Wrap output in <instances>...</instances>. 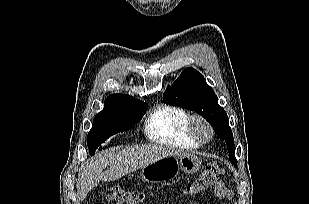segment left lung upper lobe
<instances>
[{
    "mask_svg": "<svg viewBox=\"0 0 309 204\" xmlns=\"http://www.w3.org/2000/svg\"><path fill=\"white\" fill-rule=\"evenodd\" d=\"M167 104L182 106L204 117L218 137L224 140L229 151L230 162L237 166L234 140L225 110L219 106L218 98L204 77L193 68L182 71L176 81L163 94Z\"/></svg>",
    "mask_w": 309,
    "mask_h": 204,
    "instance_id": "left-lung-upper-lobe-1",
    "label": "left lung upper lobe"
}]
</instances>
